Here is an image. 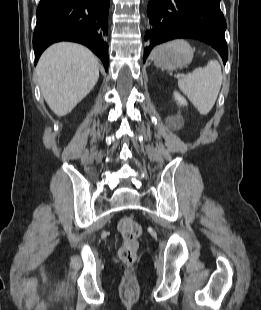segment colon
Masks as SVG:
<instances>
[{
    "instance_id": "obj_1",
    "label": "colon",
    "mask_w": 261,
    "mask_h": 310,
    "mask_svg": "<svg viewBox=\"0 0 261 310\" xmlns=\"http://www.w3.org/2000/svg\"><path fill=\"white\" fill-rule=\"evenodd\" d=\"M118 230L122 236L119 248V258L126 264H133L137 258L139 238L142 234L140 224L132 217H123L118 223Z\"/></svg>"
}]
</instances>
